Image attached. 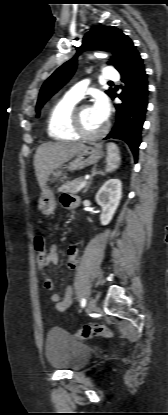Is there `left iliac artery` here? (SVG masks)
Wrapping results in <instances>:
<instances>
[{
    "label": "left iliac artery",
    "instance_id": "44dca946",
    "mask_svg": "<svg viewBox=\"0 0 168 415\" xmlns=\"http://www.w3.org/2000/svg\"><path fill=\"white\" fill-rule=\"evenodd\" d=\"M86 305V299L85 298H83L82 300H81V306L82 307H84Z\"/></svg>",
    "mask_w": 168,
    "mask_h": 415
}]
</instances>
